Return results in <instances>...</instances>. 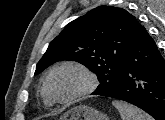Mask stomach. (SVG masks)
Masks as SVG:
<instances>
[{"label": "stomach", "instance_id": "0dacf381", "mask_svg": "<svg viewBox=\"0 0 165 120\" xmlns=\"http://www.w3.org/2000/svg\"><path fill=\"white\" fill-rule=\"evenodd\" d=\"M60 120H110L109 117L87 105H79L64 113Z\"/></svg>", "mask_w": 165, "mask_h": 120}]
</instances>
